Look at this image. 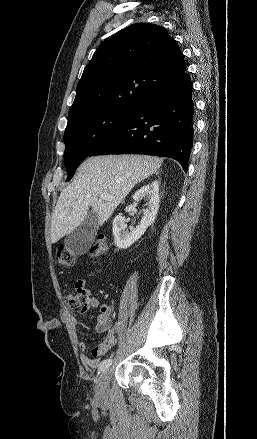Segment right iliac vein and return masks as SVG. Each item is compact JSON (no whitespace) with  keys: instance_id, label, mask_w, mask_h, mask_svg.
Masks as SVG:
<instances>
[{"instance_id":"1","label":"right iliac vein","mask_w":257,"mask_h":439,"mask_svg":"<svg viewBox=\"0 0 257 439\" xmlns=\"http://www.w3.org/2000/svg\"><path fill=\"white\" fill-rule=\"evenodd\" d=\"M109 379H110V370L105 369L100 375L96 385L95 398L97 401H105L108 398Z\"/></svg>"}]
</instances>
